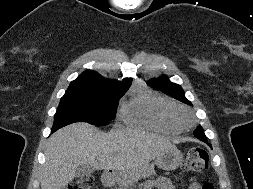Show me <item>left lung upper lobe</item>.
Segmentation results:
<instances>
[{
  "mask_svg": "<svg viewBox=\"0 0 253 189\" xmlns=\"http://www.w3.org/2000/svg\"><path fill=\"white\" fill-rule=\"evenodd\" d=\"M147 84L157 90H162L163 92L167 93L168 95L174 97L177 100H180L183 103L192 105L191 102L185 98L184 91L182 90L181 86L170 82L166 76H162L158 79L149 80ZM194 133H198L205 136L202 127H199Z\"/></svg>",
  "mask_w": 253,
  "mask_h": 189,
  "instance_id": "left-lung-upper-lobe-1",
  "label": "left lung upper lobe"
}]
</instances>
